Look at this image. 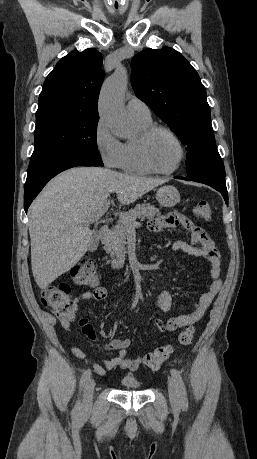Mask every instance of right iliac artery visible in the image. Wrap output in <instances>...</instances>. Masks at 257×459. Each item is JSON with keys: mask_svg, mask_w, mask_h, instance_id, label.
<instances>
[{"mask_svg": "<svg viewBox=\"0 0 257 459\" xmlns=\"http://www.w3.org/2000/svg\"><path fill=\"white\" fill-rule=\"evenodd\" d=\"M90 375H91V370L90 369H87L84 371V373L82 374V377H81V380H80V387L82 388L86 383L87 381L90 379ZM80 412V401H77L74 409H73V415L74 416H77Z\"/></svg>", "mask_w": 257, "mask_h": 459, "instance_id": "obj_1", "label": "right iliac artery"}]
</instances>
